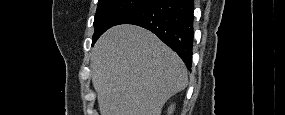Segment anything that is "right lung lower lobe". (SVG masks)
Segmentation results:
<instances>
[{"mask_svg":"<svg viewBox=\"0 0 285 115\" xmlns=\"http://www.w3.org/2000/svg\"><path fill=\"white\" fill-rule=\"evenodd\" d=\"M193 0H150L121 18L115 25L134 24L156 34L191 69Z\"/></svg>","mask_w":285,"mask_h":115,"instance_id":"1","label":"right lung lower lobe"}]
</instances>
